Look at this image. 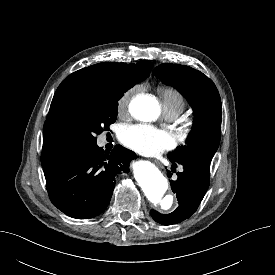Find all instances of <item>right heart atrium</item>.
Instances as JSON below:
<instances>
[{
  "label": "right heart atrium",
  "mask_w": 275,
  "mask_h": 275,
  "mask_svg": "<svg viewBox=\"0 0 275 275\" xmlns=\"http://www.w3.org/2000/svg\"><path fill=\"white\" fill-rule=\"evenodd\" d=\"M139 89H140V86H138V85L133 86V87L127 89L120 96V98L118 99V102H117V111L120 115L124 114L127 111L132 97L139 91Z\"/></svg>",
  "instance_id": "d8ad5b80"
}]
</instances>
